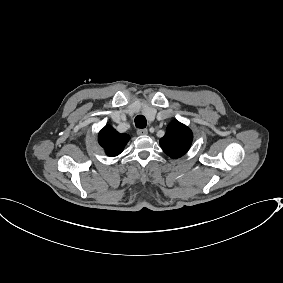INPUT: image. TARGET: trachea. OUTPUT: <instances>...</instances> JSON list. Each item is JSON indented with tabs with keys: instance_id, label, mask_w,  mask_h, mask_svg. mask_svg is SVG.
Listing matches in <instances>:
<instances>
[{
	"instance_id": "obj_1",
	"label": "trachea",
	"mask_w": 283,
	"mask_h": 283,
	"mask_svg": "<svg viewBox=\"0 0 283 283\" xmlns=\"http://www.w3.org/2000/svg\"><path fill=\"white\" fill-rule=\"evenodd\" d=\"M146 124V118L144 115H138L135 117V125L137 128H145Z\"/></svg>"
}]
</instances>
